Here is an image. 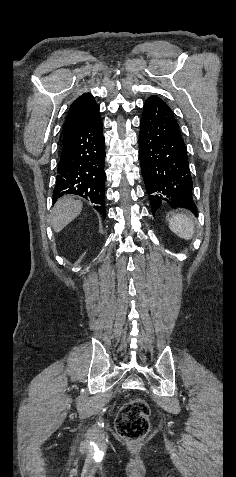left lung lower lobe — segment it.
Segmentation results:
<instances>
[{
    "label": "left lung lower lobe",
    "instance_id": "1",
    "mask_svg": "<svg viewBox=\"0 0 236 477\" xmlns=\"http://www.w3.org/2000/svg\"><path fill=\"white\" fill-rule=\"evenodd\" d=\"M139 157L152 214L163 205L196 214L186 146L173 111L155 95L144 104Z\"/></svg>",
    "mask_w": 236,
    "mask_h": 477
}]
</instances>
